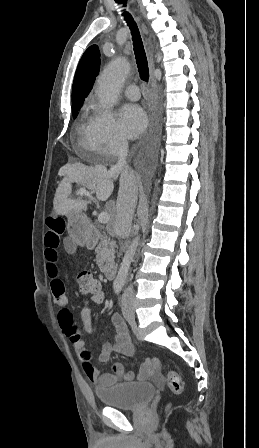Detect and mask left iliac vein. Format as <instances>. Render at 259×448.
<instances>
[{
  "label": "left iliac vein",
  "instance_id": "obj_1",
  "mask_svg": "<svg viewBox=\"0 0 259 448\" xmlns=\"http://www.w3.org/2000/svg\"><path fill=\"white\" fill-rule=\"evenodd\" d=\"M122 314L127 321H133L135 318L134 305L132 301L122 300Z\"/></svg>",
  "mask_w": 259,
  "mask_h": 448
}]
</instances>
